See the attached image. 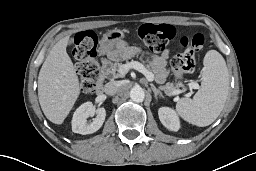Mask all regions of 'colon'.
I'll use <instances>...</instances> for the list:
<instances>
[{"mask_svg":"<svg viewBox=\"0 0 256 171\" xmlns=\"http://www.w3.org/2000/svg\"><path fill=\"white\" fill-rule=\"evenodd\" d=\"M140 41L150 50L163 51L175 36V29L169 24H143L138 30ZM96 35L93 31L80 32L75 39L74 56L78 59L77 70L80 76V88L83 94L92 93L100 77V66L96 61ZM183 48L171 61L176 87L185 85V75L196 70V53L204 44V36L195 33L180 39Z\"/></svg>","mask_w":256,"mask_h":171,"instance_id":"obj_1","label":"colon"}]
</instances>
